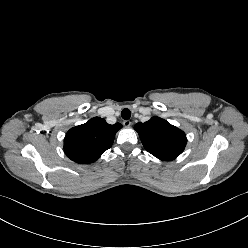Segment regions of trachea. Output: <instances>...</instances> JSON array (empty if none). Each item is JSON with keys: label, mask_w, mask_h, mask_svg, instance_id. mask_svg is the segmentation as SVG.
Instances as JSON below:
<instances>
[{"label": "trachea", "mask_w": 248, "mask_h": 248, "mask_svg": "<svg viewBox=\"0 0 248 248\" xmlns=\"http://www.w3.org/2000/svg\"><path fill=\"white\" fill-rule=\"evenodd\" d=\"M121 116L123 119L128 120L131 117V111L129 109L125 108L122 110Z\"/></svg>", "instance_id": "trachea-1"}]
</instances>
